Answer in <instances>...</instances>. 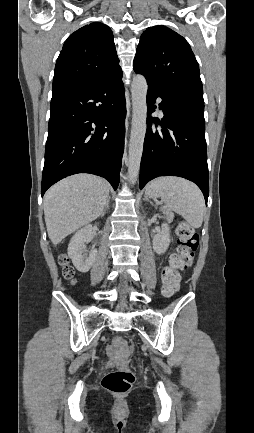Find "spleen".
Masks as SVG:
<instances>
[{
  "mask_svg": "<svg viewBox=\"0 0 254 433\" xmlns=\"http://www.w3.org/2000/svg\"><path fill=\"white\" fill-rule=\"evenodd\" d=\"M145 193L149 197H160L191 227H201L205 201L202 192L194 183L179 177H159L147 185Z\"/></svg>",
  "mask_w": 254,
  "mask_h": 433,
  "instance_id": "obj_1",
  "label": "spleen"
}]
</instances>
